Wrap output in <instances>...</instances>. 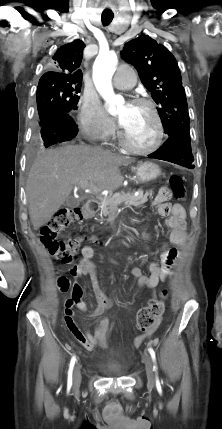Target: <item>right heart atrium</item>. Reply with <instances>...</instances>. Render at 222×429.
Instances as JSON below:
<instances>
[{
    "label": "right heart atrium",
    "mask_w": 222,
    "mask_h": 429,
    "mask_svg": "<svg viewBox=\"0 0 222 429\" xmlns=\"http://www.w3.org/2000/svg\"><path fill=\"white\" fill-rule=\"evenodd\" d=\"M78 124L84 136L104 140L114 131V124L106 115L98 97L84 92L78 101Z\"/></svg>",
    "instance_id": "d8ad5b80"
}]
</instances>
